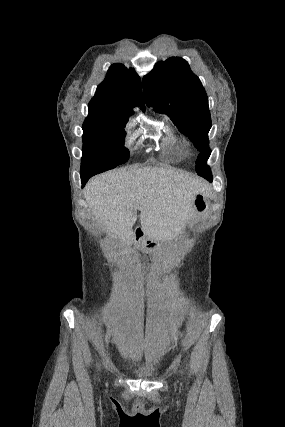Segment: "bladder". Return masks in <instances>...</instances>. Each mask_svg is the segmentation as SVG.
<instances>
[{
  "instance_id": "31cf9c89",
  "label": "bladder",
  "mask_w": 285,
  "mask_h": 427,
  "mask_svg": "<svg viewBox=\"0 0 285 427\" xmlns=\"http://www.w3.org/2000/svg\"><path fill=\"white\" fill-rule=\"evenodd\" d=\"M158 375V370L155 367L143 368L135 373V377L142 380H153Z\"/></svg>"
}]
</instances>
